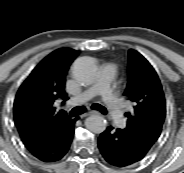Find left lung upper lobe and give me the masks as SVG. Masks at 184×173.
Segmentation results:
<instances>
[{"mask_svg": "<svg viewBox=\"0 0 184 173\" xmlns=\"http://www.w3.org/2000/svg\"><path fill=\"white\" fill-rule=\"evenodd\" d=\"M124 95L134 103V111L125 114L128 123L124 130L150 148L161 133L166 113L165 98L156 72L135 50L128 54Z\"/></svg>", "mask_w": 184, "mask_h": 173, "instance_id": "5c2ea615", "label": "left lung upper lobe"}]
</instances>
